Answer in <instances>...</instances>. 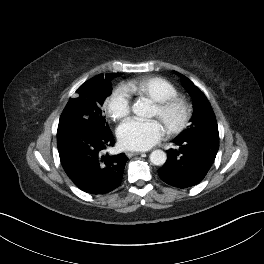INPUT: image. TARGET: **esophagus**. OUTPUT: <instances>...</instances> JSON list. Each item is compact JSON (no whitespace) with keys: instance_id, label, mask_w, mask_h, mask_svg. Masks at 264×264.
Masks as SVG:
<instances>
[{"instance_id":"1","label":"esophagus","mask_w":264,"mask_h":264,"mask_svg":"<svg viewBox=\"0 0 264 264\" xmlns=\"http://www.w3.org/2000/svg\"><path fill=\"white\" fill-rule=\"evenodd\" d=\"M142 152H138V151H136V152H133V151H131V152H126V156L128 157V158H131V157H133V156H135V155H139V154H141Z\"/></svg>"}]
</instances>
